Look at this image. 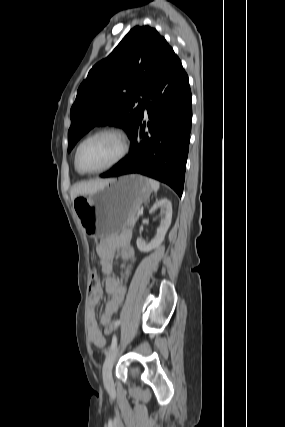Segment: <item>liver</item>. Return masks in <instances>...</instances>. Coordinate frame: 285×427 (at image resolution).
<instances>
[{"mask_svg": "<svg viewBox=\"0 0 285 427\" xmlns=\"http://www.w3.org/2000/svg\"><path fill=\"white\" fill-rule=\"evenodd\" d=\"M108 182H110L109 179L77 183L71 189V199L73 200L79 195H88L95 193L98 190L102 189Z\"/></svg>", "mask_w": 285, "mask_h": 427, "instance_id": "liver-1", "label": "liver"}]
</instances>
